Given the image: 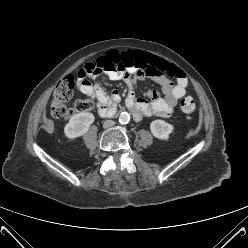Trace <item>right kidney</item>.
I'll use <instances>...</instances> for the list:
<instances>
[{"label": "right kidney", "instance_id": "ca27d5eb", "mask_svg": "<svg viewBox=\"0 0 248 248\" xmlns=\"http://www.w3.org/2000/svg\"><path fill=\"white\" fill-rule=\"evenodd\" d=\"M94 119V115L89 112H80L73 115L64 127L65 135L70 139L84 135L89 130Z\"/></svg>", "mask_w": 248, "mask_h": 248}]
</instances>
